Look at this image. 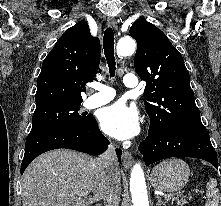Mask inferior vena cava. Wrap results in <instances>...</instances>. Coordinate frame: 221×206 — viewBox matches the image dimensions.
Listing matches in <instances>:
<instances>
[{"mask_svg": "<svg viewBox=\"0 0 221 206\" xmlns=\"http://www.w3.org/2000/svg\"><path fill=\"white\" fill-rule=\"evenodd\" d=\"M98 161L105 170L107 179L103 187L104 206H118L120 202L121 185L119 179V169L115 150L112 146L104 152Z\"/></svg>", "mask_w": 221, "mask_h": 206, "instance_id": "inferior-vena-cava-1", "label": "inferior vena cava"}]
</instances>
